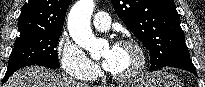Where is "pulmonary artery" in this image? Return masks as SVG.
Here are the masks:
<instances>
[{
    "label": "pulmonary artery",
    "instance_id": "pulmonary-artery-1",
    "mask_svg": "<svg viewBox=\"0 0 205 87\" xmlns=\"http://www.w3.org/2000/svg\"><path fill=\"white\" fill-rule=\"evenodd\" d=\"M92 23L96 29L106 31L111 26V18L108 13L99 11L94 15Z\"/></svg>",
    "mask_w": 205,
    "mask_h": 87
}]
</instances>
